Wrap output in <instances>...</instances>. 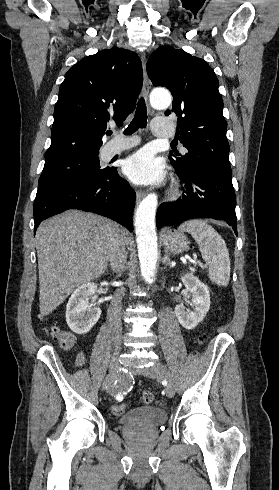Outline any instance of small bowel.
Instances as JSON below:
<instances>
[{
  "label": "small bowel",
  "instance_id": "1",
  "mask_svg": "<svg viewBox=\"0 0 279 490\" xmlns=\"http://www.w3.org/2000/svg\"><path fill=\"white\" fill-rule=\"evenodd\" d=\"M75 364L78 367H82L85 364V354L83 352H80L75 356Z\"/></svg>",
  "mask_w": 279,
  "mask_h": 490
}]
</instances>
